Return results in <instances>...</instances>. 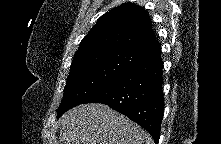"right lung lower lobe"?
Instances as JSON below:
<instances>
[{
	"label": "right lung lower lobe",
	"instance_id": "1",
	"mask_svg": "<svg viewBox=\"0 0 221 144\" xmlns=\"http://www.w3.org/2000/svg\"><path fill=\"white\" fill-rule=\"evenodd\" d=\"M160 47L84 103H103L146 129L158 143L164 112Z\"/></svg>",
	"mask_w": 221,
	"mask_h": 144
}]
</instances>
